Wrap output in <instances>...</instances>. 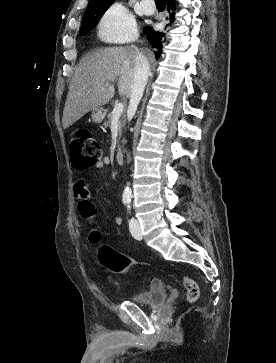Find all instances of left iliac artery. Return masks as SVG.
Wrapping results in <instances>:
<instances>
[{
	"label": "left iliac artery",
	"instance_id": "obj_1",
	"mask_svg": "<svg viewBox=\"0 0 276 363\" xmlns=\"http://www.w3.org/2000/svg\"><path fill=\"white\" fill-rule=\"evenodd\" d=\"M129 203V202H128ZM127 207H128V210H130V206H129V204L127 205Z\"/></svg>",
	"mask_w": 276,
	"mask_h": 363
}]
</instances>
